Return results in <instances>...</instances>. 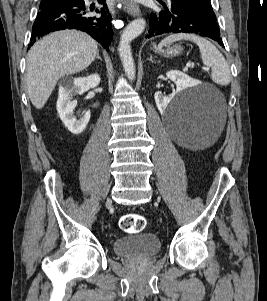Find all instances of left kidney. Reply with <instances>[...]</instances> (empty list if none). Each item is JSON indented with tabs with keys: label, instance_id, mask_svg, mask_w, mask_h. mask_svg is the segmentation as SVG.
I'll list each match as a JSON object with an SVG mask.
<instances>
[{
	"label": "left kidney",
	"instance_id": "5707ae66",
	"mask_svg": "<svg viewBox=\"0 0 267 301\" xmlns=\"http://www.w3.org/2000/svg\"><path fill=\"white\" fill-rule=\"evenodd\" d=\"M166 76L176 84L177 92L192 88L195 85V80L177 70H171L167 72ZM171 99V97L163 96L160 92L155 94V102L160 111H164L167 108Z\"/></svg>",
	"mask_w": 267,
	"mask_h": 301
}]
</instances>
